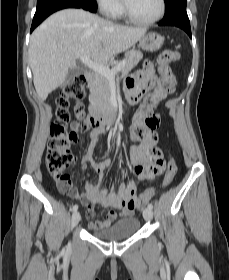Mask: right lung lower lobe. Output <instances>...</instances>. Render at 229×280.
I'll use <instances>...</instances> for the list:
<instances>
[{"label": "right lung lower lobe", "instance_id": "right-lung-lower-lobe-1", "mask_svg": "<svg viewBox=\"0 0 229 280\" xmlns=\"http://www.w3.org/2000/svg\"><path fill=\"white\" fill-rule=\"evenodd\" d=\"M65 8H82L96 12L97 6L95 0H37L31 32L50 14Z\"/></svg>", "mask_w": 229, "mask_h": 280}]
</instances>
